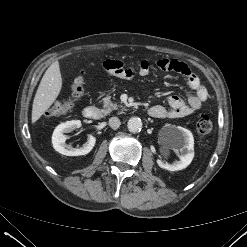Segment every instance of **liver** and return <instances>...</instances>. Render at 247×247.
<instances>
[{"mask_svg":"<svg viewBox=\"0 0 247 247\" xmlns=\"http://www.w3.org/2000/svg\"><path fill=\"white\" fill-rule=\"evenodd\" d=\"M62 88L59 63L53 62L44 73L32 106V123H35L54 103Z\"/></svg>","mask_w":247,"mask_h":247,"instance_id":"obj_1","label":"liver"}]
</instances>
